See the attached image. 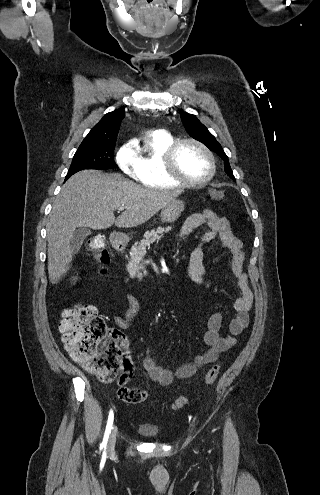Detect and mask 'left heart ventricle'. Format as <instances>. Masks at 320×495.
I'll return each mask as SVG.
<instances>
[{
  "mask_svg": "<svg viewBox=\"0 0 320 495\" xmlns=\"http://www.w3.org/2000/svg\"><path fill=\"white\" fill-rule=\"evenodd\" d=\"M177 165L181 174L192 180L206 177L210 170L206 155L193 144H185L180 148Z\"/></svg>",
  "mask_w": 320,
  "mask_h": 495,
  "instance_id": "1",
  "label": "left heart ventricle"
}]
</instances>
